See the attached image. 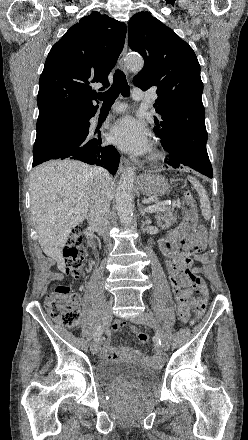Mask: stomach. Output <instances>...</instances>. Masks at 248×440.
<instances>
[{"label": "stomach", "instance_id": "0dacf381", "mask_svg": "<svg viewBox=\"0 0 248 440\" xmlns=\"http://www.w3.org/2000/svg\"><path fill=\"white\" fill-rule=\"evenodd\" d=\"M137 191L143 195L158 198L169 190L167 180L159 175H144L136 182Z\"/></svg>", "mask_w": 248, "mask_h": 440}]
</instances>
